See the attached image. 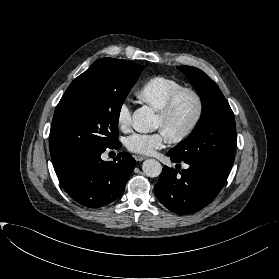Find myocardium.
<instances>
[{
	"instance_id": "obj_1",
	"label": "myocardium",
	"mask_w": 279,
	"mask_h": 279,
	"mask_svg": "<svg viewBox=\"0 0 279 279\" xmlns=\"http://www.w3.org/2000/svg\"><path fill=\"white\" fill-rule=\"evenodd\" d=\"M185 94L194 98L196 102V112L190 124L182 132L168 138V140L173 143H180L189 138L198 128L204 115L205 104L201 94L195 89L182 87L168 97L163 108L158 111V116L163 120H167L171 116L178 99Z\"/></svg>"
}]
</instances>
